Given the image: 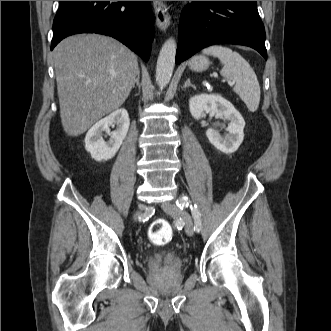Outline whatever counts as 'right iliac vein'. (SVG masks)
<instances>
[{
    "label": "right iliac vein",
    "mask_w": 331,
    "mask_h": 331,
    "mask_svg": "<svg viewBox=\"0 0 331 331\" xmlns=\"http://www.w3.org/2000/svg\"><path fill=\"white\" fill-rule=\"evenodd\" d=\"M140 208H144V205H140ZM138 215H139V212L136 213L135 219L137 218Z\"/></svg>",
    "instance_id": "obj_1"
}]
</instances>
